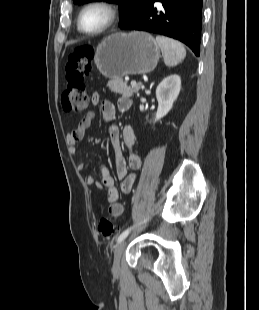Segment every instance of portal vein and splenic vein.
Wrapping results in <instances>:
<instances>
[{
	"label": "portal vein and splenic vein",
	"instance_id": "1",
	"mask_svg": "<svg viewBox=\"0 0 259 310\" xmlns=\"http://www.w3.org/2000/svg\"><path fill=\"white\" fill-rule=\"evenodd\" d=\"M130 84H131V86H132V87H134V86H136V85H137L136 81H131V83H130Z\"/></svg>",
	"mask_w": 259,
	"mask_h": 310
}]
</instances>
